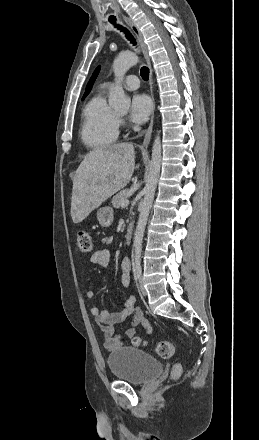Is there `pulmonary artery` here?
Returning a JSON list of instances; mask_svg holds the SVG:
<instances>
[{
	"instance_id": "obj_1",
	"label": "pulmonary artery",
	"mask_w": 259,
	"mask_h": 440,
	"mask_svg": "<svg viewBox=\"0 0 259 440\" xmlns=\"http://www.w3.org/2000/svg\"><path fill=\"white\" fill-rule=\"evenodd\" d=\"M111 85H112L111 82H106V83H104V84L102 85V88H103V89H107V88H109ZM123 85H124V87H125L126 89H128V90H136V89L139 87L140 82H139V79H138V77H137L136 75H129V76H127L126 79L124 80Z\"/></svg>"
}]
</instances>
